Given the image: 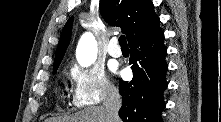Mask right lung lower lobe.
Masks as SVG:
<instances>
[{"instance_id": "98d812e1", "label": "right lung lower lobe", "mask_w": 221, "mask_h": 122, "mask_svg": "<svg viewBox=\"0 0 221 122\" xmlns=\"http://www.w3.org/2000/svg\"><path fill=\"white\" fill-rule=\"evenodd\" d=\"M163 39L158 21L129 43L133 79L130 83L119 81L123 101L119 116L124 122H162L160 113L165 107L162 93L167 87L168 69Z\"/></svg>"}]
</instances>
